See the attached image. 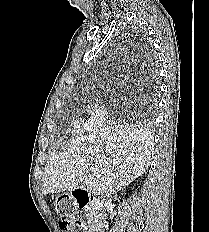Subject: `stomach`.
Segmentation results:
<instances>
[{
	"mask_svg": "<svg viewBox=\"0 0 209 232\" xmlns=\"http://www.w3.org/2000/svg\"><path fill=\"white\" fill-rule=\"evenodd\" d=\"M76 202L74 194H57L56 211H58L59 218H65V221H78Z\"/></svg>",
	"mask_w": 209,
	"mask_h": 232,
	"instance_id": "0dacf381",
	"label": "stomach"
}]
</instances>
